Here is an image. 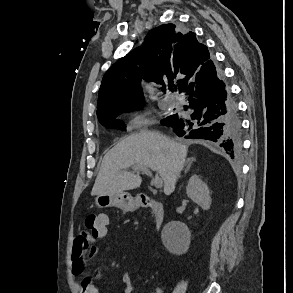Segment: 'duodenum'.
<instances>
[{"label":"duodenum","mask_w":293,"mask_h":293,"mask_svg":"<svg viewBox=\"0 0 293 293\" xmlns=\"http://www.w3.org/2000/svg\"><path fill=\"white\" fill-rule=\"evenodd\" d=\"M138 204L140 207H150L153 210L154 225L158 229L164 222V210L161 202L148 194H143L139 196Z\"/></svg>","instance_id":"1"}]
</instances>
